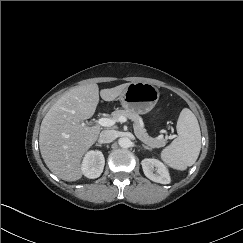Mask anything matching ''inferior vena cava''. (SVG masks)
<instances>
[{
    "instance_id": "inferior-vena-cava-1",
    "label": "inferior vena cava",
    "mask_w": 243,
    "mask_h": 243,
    "mask_svg": "<svg viewBox=\"0 0 243 243\" xmlns=\"http://www.w3.org/2000/svg\"><path fill=\"white\" fill-rule=\"evenodd\" d=\"M116 139V132L114 130H103L100 133V140L103 143H110Z\"/></svg>"
}]
</instances>
